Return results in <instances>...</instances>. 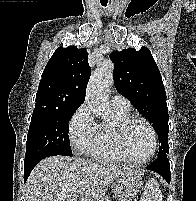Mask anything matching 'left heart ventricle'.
Returning a JSON list of instances; mask_svg holds the SVG:
<instances>
[{"mask_svg": "<svg viewBox=\"0 0 196 201\" xmlns=\"http://www.w3.org/2000/svg\"><path fill=\"white\" fill-rule=\"evenodd\" d=\"M126 142L131 157L135 160H142L152 148L150 130L145 124L137 122L128 130Z\"/></svg>", "mask_w": 196, "mask_h": 201, "instance_id": "left-heart-ventricle-1", "label": "left heart ventricle"}]
</instances>
